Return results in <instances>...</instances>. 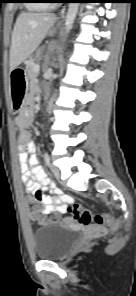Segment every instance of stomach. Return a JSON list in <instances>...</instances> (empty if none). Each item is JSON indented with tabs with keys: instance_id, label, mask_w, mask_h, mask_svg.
Segmentation results:
<instances>
[{
	"instance_id": "stomach-1",
	"label": "stomach",
	"mask_w": 136,
	"mask_h": 296,
	"mask_svg": "<svg viewBox=\"0 0 136 296\" xmlns=\"http://www.w3.org/2000/svg\"><path fill=\"white\" fill-rule=\"evenodd\" d=\"M12 73V84H26L27 69L15 68ZM11 90L13 111H22L25 101H30V96L25 93V90H28V85H11Z\"/></svg>"
}]
</instances>
